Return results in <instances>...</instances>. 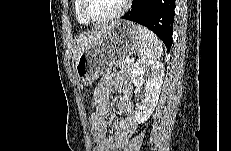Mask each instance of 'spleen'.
Segmentation results:
<instances>
[{
    "label": "spleen",
    "mask_w": 231,
    "mask_h": 151,
    "mask_svg": "<svg viewBox=\"0 0 231 151\" xmlns=\"http://www.w3.org/2000/svg\"><path fill=\"white\" fill-rule=\"evenodd\" d=\"M137 31L140 36L139 56L142 59L148 60L161 57L163 54V47L159 38L153 32L141 25H137Z\"/></svg>",
    "instance_id": "3e777b00"
}]
</instances>
